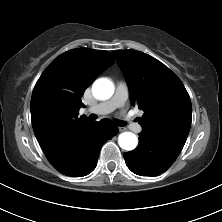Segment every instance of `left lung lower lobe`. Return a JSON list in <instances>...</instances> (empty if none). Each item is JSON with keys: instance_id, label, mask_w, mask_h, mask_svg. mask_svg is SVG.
Returning a JSON list of instances; mask_svg holds the SVG:
<instances>
[{"instance_id": "obj_1", "label": "left lung lower lobe", "mask_w": 222, "mask_h": 222, "mask_svg": "<svg viewBox=\"0 0 222 222\" xmlns=\"http://www.w3.org/2000/svg\"><path fill=\"white\" fill-rule=\"evenodd\" d=\"M124 158L126 165L133 173L157 176L165 172L177 156L153 137H139L138 147L131 152H125Z\"/></svg>"}]
</instances>
